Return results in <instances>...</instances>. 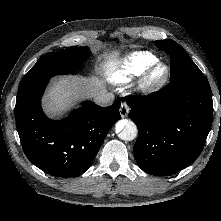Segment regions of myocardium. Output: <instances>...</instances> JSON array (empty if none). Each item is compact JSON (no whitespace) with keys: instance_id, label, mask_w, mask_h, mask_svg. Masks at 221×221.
<instances>
[{"instance_id":"f54148a6","label":"myocardium","mask_w":221,"mask_h":221,"mask_svg":"<svg viewBox=\"0 0 221 221\" xmlns=\"http://www.w3.org/2000/svg\"><path fill=\"white\" fill-rule=\"evenodd\" d=\"M159 69L162 70V74L156 76V72ZM169 77V66L163 62L157 61L143 73L138 86L139 92L146 96L153 95L167 84Z\"/></svg>"}]
</instances>
